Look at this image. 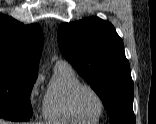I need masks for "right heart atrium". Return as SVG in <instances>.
<instances>
[{"label":"right heart atrium","mask_w":156,"mask_h":124,"mask_svg":"<svg viewBox=\"0 0 156 124\" xmlns=\"http://www.w3.org/2000/svg\"><path fill=\"white\" fill-rule=\"evenodd\" d=\"M42 76L39 73L34 79L33 83L30 86L28 91V101L33 109L36 112L40 108V84H41Z\"/></svg>","instance_id":"d8ad5b80"}]
</instances>
